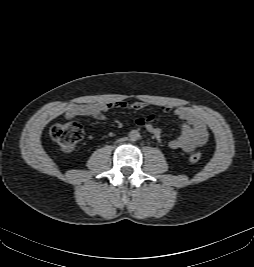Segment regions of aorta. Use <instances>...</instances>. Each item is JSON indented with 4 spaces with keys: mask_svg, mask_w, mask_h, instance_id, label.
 I'll return each instance as SVG.
<instances>
[{
    "mask_svg": "<svg viewBox=\"0 0 254 267\" xmlns=\"http://www.w3.org/2000/svg\"><path fill=\"white\" fill-rule=\"evenodd\" d=\"M129 138L131 141H137L140 139V133L138 132V130H132L129 133Z\"/></svg>",
    "mask_w": 254,
    "mask_h": 267,
    "instance_id": "aorta-1",
    "label": "aorta"
}]
</instances>
